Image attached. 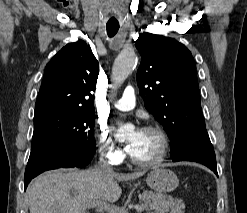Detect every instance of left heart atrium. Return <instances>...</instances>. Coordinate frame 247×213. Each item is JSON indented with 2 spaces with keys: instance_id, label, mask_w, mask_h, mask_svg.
<instances>
[{
  "instance_id": "39dd6f15",
  "label": "left heart atrium",
  "mask_w": 247,
  "mask_h": 213,
  "mask_svg": "<svg viewBox=\"0 0 247 213\" xmlns=\"http://www.w3.org/2000/svg\"><path fill=\"white\" fill-rule=\"evenodd\" d=\"M141 132L142 130H137L135 133H134V137L129 140L126 144V149L129 153H131L133 151V149L135 148V145H136V142L139 138V136L141 135Z\"/></svg>"
}]
</instances>
